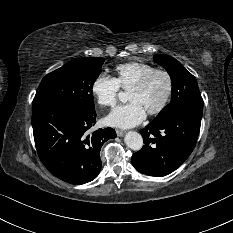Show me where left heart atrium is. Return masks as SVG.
Here are the masks:
<instances>
[{
  "label": "left heart atrium",
  "mask_w": 233,
  "mask_h": 233,
  "mask_svg": "<svg viewBox=\"0 0 233 233\" xmlns=\"http://www.w3.org/2000/svg\"><path fill=\"white\" fill-rule=\"evenodd\" d=\"M146 111L137 102H129L115 107L105 118L107 125L119 128H131L140 124L146 117Z\"/></svg>",
  "instance_id": "obj_1"
}]
</instances>
